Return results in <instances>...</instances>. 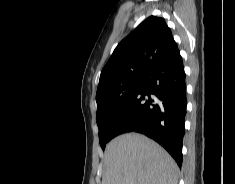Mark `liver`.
<instances>
[{"instance_id": "6515ba94", "label": "liver", "mask_w": 235, "mask_h": 184, "mask_svg": "<svg viewBox=\"0 0 235 184\" xmlns=\"http://www.w3.org/2000/svg\"><path fill=\"white\" fill-rule=\"evenodd\" d=\"M102 184H178V166L153 140L122 134L105 150Z\"/></svg>"}]
</instances>
